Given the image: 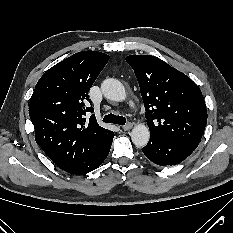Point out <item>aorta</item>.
<instances>
[{"label":"aorta","mask_w":233,"mask_h":233,"mask_svg":"<svg viewBox=\"0 0 233 233\" xmlns=\"http://www.w3.org/2000/svg\"><path fill=\"white\" fill-rule=\"evenodd\" d=\"M103 95L112 101H123L126 98V91L123 84L114 78L105 79L101 84ZM150 138L149 128L144 124L134 126L131 131L132 142L138 147H144Z\"/></svg>","instance_id":"762f6f07"}]
</instances>
